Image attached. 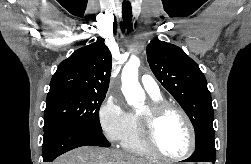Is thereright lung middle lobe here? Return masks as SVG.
Masks as SVG:
<instances>
[{"instance_id": "obj_1", "label": "right lung middle lobe", "mask_w": 251, "mask_h": 164, "mask_svg": "<svg viewBox=\"0 0 251 164\" xmlns=\"http://www.w3.org/2000/svg\"><path fill=\"white\" fill-rule=\"evenodd\" d=\"M105 97V94L71 90L49 92L44 112V128L53 124H67L102 131L99 109Z\"/></svg>"}]
</instances>
